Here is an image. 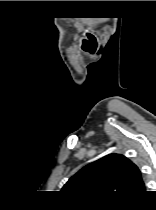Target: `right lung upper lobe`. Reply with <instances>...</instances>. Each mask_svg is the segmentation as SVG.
Here are the masks:
<instances>
[{"label": "right lung upper lobe", "instance_id": "1", "mask_svg": "<svg viewBox=\"0 0 156 210\" xmlns=\"http://www.w3.org/2000/svg\"><path fill=\"white\" fill-rule=\"evenodd\" d=\"M77 198L94 203H122L145 193L139 168L121 154H109L86 165L62 188Z\"/></svg>", "mask_w": 156, "mask_h": 210}]
</instances>
